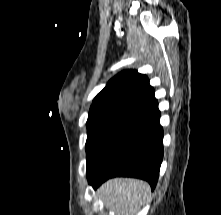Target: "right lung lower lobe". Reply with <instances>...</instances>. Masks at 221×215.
Wrapping results in <instances>:
<instances>
[{"label":"right lung lower lobe","instance_id":"right-lung-lower-lobe-1","mask_svg":"<svg viewBox=\"0 0 221 215\" xmlns=\"http://www.w3.org/2000/svg\"><path fill=\"white\" fill-rule=\"evenodd\" d=\"M157 100L138 109L112 135L87 169L94 189L116 176L146 180L155 188L163 159V129Z\"/></svg>","mask_w":221,"mask_h":215}]
</instances>
